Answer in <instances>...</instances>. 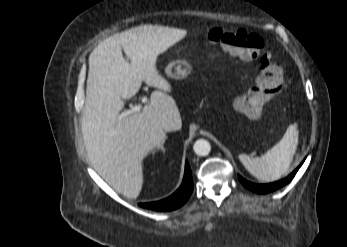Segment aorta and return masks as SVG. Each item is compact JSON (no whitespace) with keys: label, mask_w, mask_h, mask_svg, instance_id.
Listing matches in <instances>:
<instances>
[{"label":"aorta","mask_w":347,"mask_h":247,"mask_svg":"<svg viewBox=\"0 0 347 247\" xmlns=\"http://www.w3.org/2000/svg\"><path fill=\"white\" fill-rule=\"evenodd\" d=\"M193 150L198 156H207L210 153L211 145L207 140L199 139L194 143Z\"/></svg>","instance_id":"762f6f07"}]
</instances>
